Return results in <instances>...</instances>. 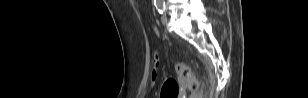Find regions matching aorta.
Masks as SVG:
<instances>
[{
    "mask_svg": "<svg viewBox=\"0 0 308 98\" xmlns=\"http://www.w3.org/2000/svg\"><path fill=\"white\" fill-rule=\"evenodd\" d=\"M156 4L157 5H162L164 3V0H155Z\"/></svg>",
    "mask_w": 308,
    "mask_h": 98,
    "instance_id": "aorta-1",
    "label": "aorta"
}]
</instances>
